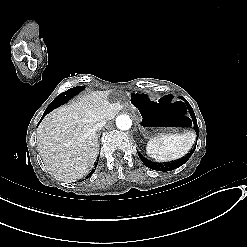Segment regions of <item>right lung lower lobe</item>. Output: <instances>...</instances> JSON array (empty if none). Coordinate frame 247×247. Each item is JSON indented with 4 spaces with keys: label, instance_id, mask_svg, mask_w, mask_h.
I'll return each mask as SVG.
<instances>
[{
    "label": "right lung lower lobe",
    "instance_id": "right-lung-lower-lobe-1",
    "mask_svg": "<svg viewBox=\"0 0 247 247\" xmlns=\"http://www.w3.org/2000/svg\"><path fill=\"white\" fill-rule=\"evenodd\" d=\"M61 95V94H60ZM60 95H58L53 101H52V103H54V106H60V105H62V104H64L66 101H67V98H68V96H60ZM49 113V111L48 110H45V112H44V114H43V116H42V118L40 119V122H41V120L43 119V117L46 115V114H48ZM39 122V123H40ZM97 165V164H96ZM96 165H95V168H96ZM94 171H95V169L94 170H92V172L90 173V176L94 173Z\"/></svg>",
    "mask_w": 247,
    "mask_h": 247
}]
</instances>
